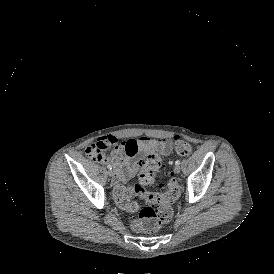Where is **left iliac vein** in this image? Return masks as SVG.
<instances>
[{
    "label": "left iliac vein",
    "instance_id": "1",
    "mask_svg": "<svg viewBox=\"0 0 274 274\" xmlns=\"http://www.w3.org/2000/svg\"><path fill=\"white\" fill-rule=\"evenodd\" d=\"M180 170H181V168H180L179 165H176V166L174 167V172H175V173H179Z\"/></svg>",
    "mask_w": 274,
    "mask_h": 274
}]
</instances>
